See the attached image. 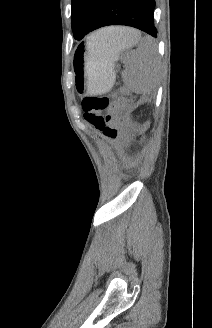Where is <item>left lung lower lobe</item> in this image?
<instances>
[{"mask_svg":"<svg viewBox=\"0 0 212 328\" xmlns=\"http://www.w3.org/2000/svg\"><path fill=\"white\" fill-rule=\"evenodd\" d=\"M154 9L155 0H104L89 33L104 26L127 25L156 37Z\"/></svg>","mask_w":212,"mask_h":328,"instance_id":"0a47b994","label":"left lung lower lobe"}]
</instances>
